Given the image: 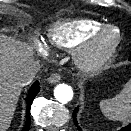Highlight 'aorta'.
Masks as SVG:
<instances>
[{
    "instance_id": "obj_1",
    "label": "aorta",
    "mask_w": 131,
    "mask_h": 131,
    "mask_svg": "<svg viewBox=\"0 0 131 131\" xmlns=\"http://www.w3.org/2000/svg\"><path fill=\"white\" fill-rule=\"evenodd\" d=\"M54 96L62 104L70 102L73 98V90L67 84H58L54 89Z\"/></svg>"
}]
</instances>
